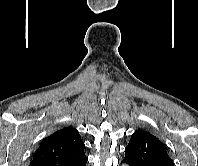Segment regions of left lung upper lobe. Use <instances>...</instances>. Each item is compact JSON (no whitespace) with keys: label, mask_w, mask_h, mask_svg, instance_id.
<instances>
[{"label":"left lung upper lobe","mask_w":198,"mask_h":166,"mask_svg":"<svg viewBox=\"0 0 198 166\" xmlns=\"http://www.w3.org/2000/svg\"><path fill=\"white\" fill-rule=\"evenodd\" d=\"M131 166H174L166 146L151 133L138 129L125 148V158Z\"/></svg>","instance_id":"1"}]
</instances>
